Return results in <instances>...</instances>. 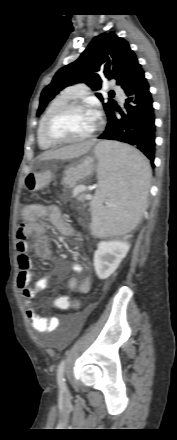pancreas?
Returning <instances> with one entry per match:
<instances>
[{"label": "pancreas", "mask_w": 177, "mask_h": 440, "mask_svg": "<svg viewBox=\"0 0 177 440\" xmlns=\"http://www.w3.org/2000/svg\"><path fill=\"white\" fill-rule=\"evenodd\" d=\"M84 197H85L84 194H80V195H79V198H80V199H84Z\"/></svg>", "instance_id": "pancreas-1"}]
</instances>
